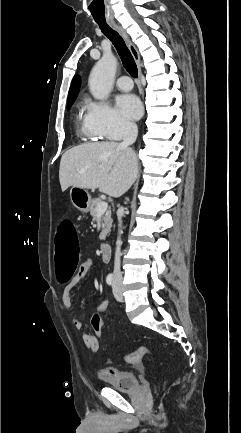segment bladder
<instances>
[{"mask_svg":"<svg viewBox=\"0 0 241 433\" xmlns=\"http://www.w3.org/2000/svg\"><path fill=\"white\" fill-rule=\"evenodd\" d=\"M98 378L103 381L107 387L120 392H130L139 386L137 375L131 371H116L111 374L100 371Z\"/></svg>","mask_w":241,"mask_h":433,"instance_id":"31cf9c89","label":"bladder"}]
</instances>
